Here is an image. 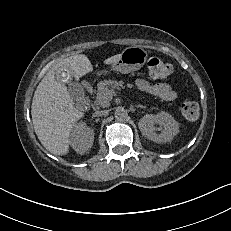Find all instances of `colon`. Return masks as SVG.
I'll use <instances>...</instances> for the list:
<instances>
[{"mask_svg":"<svg viewBox=\"0 0 231 231\" xmlns=\"http://www.w3.org/2000/svg\"><path fill=\"white\" fill-rule=\"evenodd\" d=\"M147 67L149 75L153 79H165L173 72L170 63L157 57L150 58ZM181 111L188 120H195L199 116V106L194 101H185L181 106Z\"/></svg>","mask_w":231,"mask_h":231,"instance_id":"colon-1","label":"colon"}]
</instances>
